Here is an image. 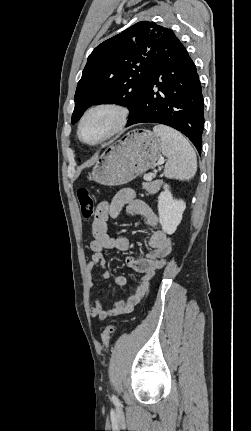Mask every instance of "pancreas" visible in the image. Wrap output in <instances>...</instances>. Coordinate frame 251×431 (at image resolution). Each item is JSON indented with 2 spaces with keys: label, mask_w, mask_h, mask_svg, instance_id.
<instances>
[{
  "label": "pancreas",
  "mask_w": 251,
  "mask_h": 431,
  "mask_svg": "<svg viewBox=\"0 0 251 431\" xmlns=\"http://www.w3.org/2000/svg\"><path fill=\"white\" fill-rule=\"evenodd\" d=\"M160 186L161 182L159 180L142 183V188L151 195L156 194L159 191Z\"/></svg>",
  "instance_id": "1"
}]
</instances>
